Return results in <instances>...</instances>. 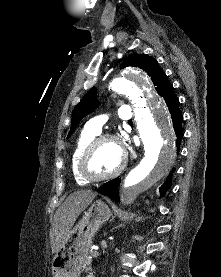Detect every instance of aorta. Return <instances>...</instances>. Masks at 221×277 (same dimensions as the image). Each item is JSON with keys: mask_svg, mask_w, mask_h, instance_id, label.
Instances as JSON below:
<instances>
[{"mask_svg": "<svg viewBox=\"0 0 221 277\" xmlns=\"http://www.w3.org/2000/svg\"><path fill=\"white\" fill-rule=\"evenodd\" d=\"M110 88L127 96L133 104L144 145V157L124 180V202L130 204L170 170L175 158V135L166 105L149 96L151 86L141 70L125 69L111 81Z\"/></svg>", "mask_w": 221, "mask_h": 277, "instance_id": "1", "label": "aorta"}]
</instances>
